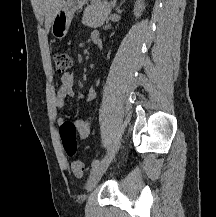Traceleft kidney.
<instances>
[{"label": "left kidney", "mask_w": 216, "mask_h": 217, "mask_svg": "<svg viewBox=\"0 0 216 217\" xmlns=\"http://www.w3.org/2000/svg\"><path fill=\"white\" fill-rule=\"evenodd\" d=\"M145 9V5L143 0H137L134 5V15L139 18L142 15L143 10Z\"/></svg>", "instance_id": "left-kidney-1"}]
</instances>
